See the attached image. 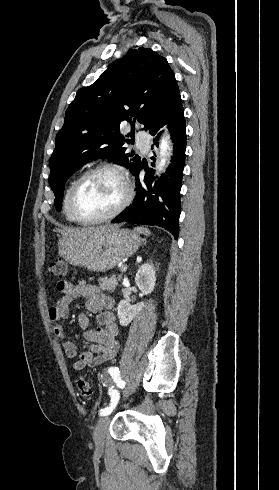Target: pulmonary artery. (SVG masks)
Masks as SVG:
<instances>
[{
  "label": "pulmonary artery",
  "instance_id": "pulmonary-artery-1",
  "mask_svg": "<svg viewBox=\"0 0 279 490\" xmlns=\"http://www.w3.org/2000/svg\"><path fill=\"white\" fill-rule=\"evenodd\" d=\"M139 134L142 136V137H145L147 134H148V131L145 129V128H142L140 131H139ZM138 143H139V146L143 149H146L148 147V143L147 141H142L140 139H138Z\"/></svg>",
  "mask_w": 279,
  "mask_h": 490
}]
</instances>
